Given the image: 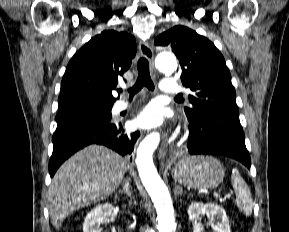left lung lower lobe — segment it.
Here are the masks:
<instances>
[{
    "mask_svg": "<svg viewBox=\"0 0 289 232\" xmlns=\"http://www.w3.org/2000/svg\"><path fill=\"white\" fill-rule=\"evenodd\" d=\"M189 137L185 150L191 155H222L236 159L250 168L251 161L245 146L240 122L220 117H207L197 123L189 122Z\"/></svg>",
    "mask_w": 289,
    "mask_h": 232,
    "instance_id": "0a47b994",
    "label": "left lung lower lobe"
}]
</instances>
